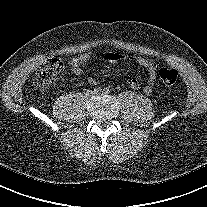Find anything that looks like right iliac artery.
I'll return each mask as SVG.
<instances>
[{"label": "right iliac artery", "instance_id": "1", "mask_svg": "<svg viewBox=\"0 0 207 207\" xmlns=\"http://www.w3.org/2000/svg\"><path fill=\"white\" fill-rule=\"evenodd\" d=\"M95 93H100L102 91L101 87H96L94 89Z\"/></svg>", "mask_w": 207, "mask_h": 207}]
</instances>
